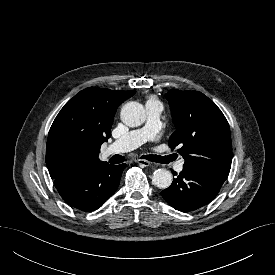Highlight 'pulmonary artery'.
<instances>
[{
    "label": "pulmonary artery",
    "mask_w": 275,
    "mask_h": 275,
    "mask_svg": "<svg viewBox=\"0 0 275 275\" xmlns=\"http://www.w3.org/2000/svg\"><path fill=\"white\" fill-rule=\"evenodd\" d=\"M147 119L145 125L137 130L130 131L120 139L113 142L107 149V154L123 153L131 151L153 140L160 128V116L163 110L162 104L157 100H149L145 104ZM184 160L176 163L175 169L183 170Z\"/></svg>",
    "instance_id": "1"
}]
</instances>
